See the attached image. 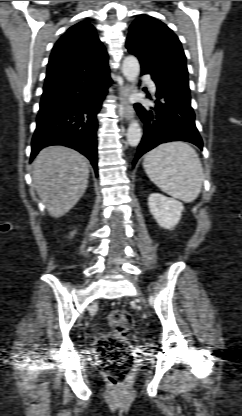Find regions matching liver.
Here are the masks:
<instances>
[{"mask_svg": "<svg viewBox=\"0 0 242 416\" xmlns=\"http://www.w3.org/2000/svg\"><path fill=\"white\" fill-rule=\"evenodd\" d=\"M89 178V162L65 146L42 149L33 162V187L50 216L66 214L83 196Z\"/></svg>", "mask_w": 242, "mask_h": 416, "instance_id": "liver-1", "label": "liver"}]
</instances>
